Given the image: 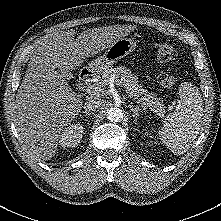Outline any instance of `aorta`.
Instances as JSON below:
<instances>
[{"label": "aorta", "instance_id": "762f6f07", "mask_svg": "<svg viewBox=\"0 0 221 221\" xmlns=\"http://www.w3.org/2000/svg\"><path fill=\"white\" fill-rule=\"evenodd\" d=\"M107 119L113 123L120 122L123 119V112L118 107L110 108L107 112Z\"/></svg>", "mask_w": 221, "mask_h": 221}]
</instances>
